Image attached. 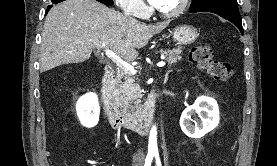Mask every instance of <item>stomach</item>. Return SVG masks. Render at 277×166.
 Returning <instances> with one entry per match:
<instances>
[{
	"instance_id": "stomach-1",
	"label": "stomach",
	"mask_w": 277,
	"mask_h": 166,
	"mask_svg": "<svg viewBox=\"0 0 277 166\" xmlns=\"http://www.w3.org/2000/svg\"><path fill=\"white\" fill-rule=\"evenodd\" d=\"M198 35L197 29L190 25H179L172 33L173 40L180 45L194 43L198 38Z\"/></svg>"
}]
</instances>
